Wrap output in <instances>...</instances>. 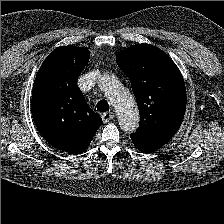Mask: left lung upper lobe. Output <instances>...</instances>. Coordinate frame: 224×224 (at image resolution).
Wrapping results in <instances>:
<instances>
[{
	"mask_svg": "<svg viewBox=\"0 0 224 224\" xmlns=\"http://www.w3.org/2000/svg\"><path fill=\"white\" fill-rule=\"evenodd\" d=\"M127 75L140 113L138 132L167 143L180 128L186 109V88L180 70L161 49L138 44L116 57Z\"/></svg>",
	"mask_w": 224,
	"mask_h": 224,
	"instance_id": "obj_1",
	"label": "left lung upper lobe"
}]
</instances>
